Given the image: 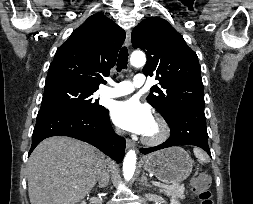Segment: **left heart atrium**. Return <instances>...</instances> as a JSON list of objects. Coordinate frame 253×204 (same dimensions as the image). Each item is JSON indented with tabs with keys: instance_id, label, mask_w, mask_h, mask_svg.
Listing matches in <instances>:
<instances>
[{
	"instance_id": "obj_1",
	"label": "left heart atrium",
	"mask_w": 253,
	"mask_h": 204,
	"mask_svg": "<svg viewBox=\"0 0 253 204\" xmlns=\"http://www.w3.org/2000/svg\"><path fill=\"white\" fill-rule=\"evenodd\" d=\"M111 117L120 128L137 134H145L154 121L150 108L135 98L116 102Z\"/></svg>"
}]
</instances>
